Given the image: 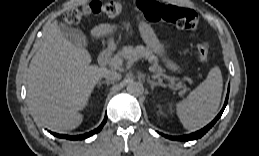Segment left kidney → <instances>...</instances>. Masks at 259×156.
<instances>
[{"label": "left kidney", "mask_w": 259, "mask_h": 156, "mask_svg": "<svg viewBox=\"0 0 259 156\" xmlns=\"http://www.w3.org/2000/svg\"><path fill=\"white\" fill-rule=\"evenodd\" d=\"M164 109L166 110L167 113H171L172 111L171 104H167L166 106H164Z\"/></svg>", "instance_id": "obj_1"}]
</instances>
